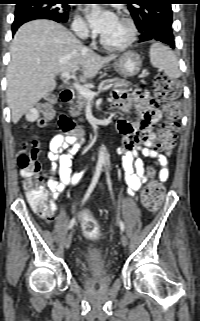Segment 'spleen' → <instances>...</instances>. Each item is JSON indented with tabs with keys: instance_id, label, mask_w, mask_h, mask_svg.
Returning a JSON list of instances; mask_svg holds the SVG:
<instances>
[{
	"instance_id": "obj_1",
	"label": "spleen",
	"mask_w": 200,
	"mask_h": 321,
	"mask_svg": "<svg viewBox=\"0 0 200 321\" xmlns=\"http://www.w3.org/2000/svg\"><path fill=\"white\" fill-rule=\"evenodd\" d=\"M149 57L151 65L162 69L169 78L176 79L181 76L178 60L173 51L167 46L153 43L149 49Z\"/></svg>"
}]
</instances>
